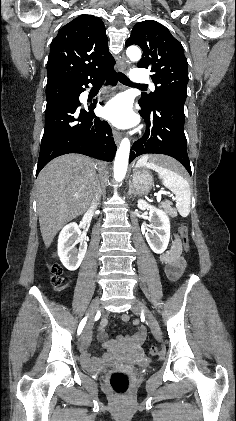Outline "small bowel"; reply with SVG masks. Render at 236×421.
Masks as SVG:
<instances>
[{
    "mask_svg": "<svg viewBox=\"0 0 236 421\" xmlns=\"http://www.w3.org/2000/svg\"><path fill=\"white\" fill-rule=\"evenodd\" d=\"M173 247L175 248V249H177L178 251L180 250V241H179V238H178V236L176 235V238H175V241H174V244H173ZM143 333V329L141 328L140 329V334H142ZM90 339V336H87L86 337V339H85V341L86 340H89Z\"/></svg>",
    "mask_w": 236,
    "mask_h": 421,
    "instance_id": "1",
    "label": "small bowel"
}]
</instances>
